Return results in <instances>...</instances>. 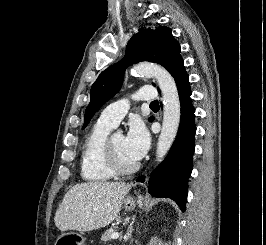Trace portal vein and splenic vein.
<instances>
[{
	"mask_svg": "<svg viewBox=\"0 0 266 245\" xmlns=\"http://www.w3.org/2000/svg\"><path fill=\"white\" fill-rule=\"evenodd\" d=\"M119 235L118 233H113L111 239H118Z\"/></svg>",
	"mask_w": 266,
	"mask_h": 245,
	"instance_id": "18ae733b",
	"label": "portal vein and splenic vein"
}]
</instances>
